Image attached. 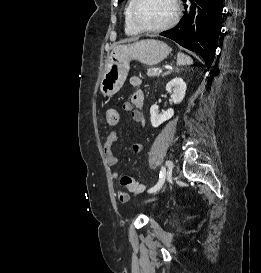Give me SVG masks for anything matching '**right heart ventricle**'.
<instances>
[{
    "label": "right heart ventricle",
    "instance_id": "right-heart-ventricle-1",
    "mask_svg": "<svg viewBox=\"0 0 261 273\" xmlns=\"http://www.w3.org/2000/svg\"><path fill=\"white\" fill-rule=\"evenodd\" d=\"M131 4H132V0H129L125 9V32L129 35H136L138 34V31L131 25L129 20V10H130Z\"/></svg>",
    "mask_w": 261,
    "mask_h": 273
}]
</instances>
